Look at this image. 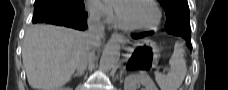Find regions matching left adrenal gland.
I'll return each mask as SVG.
<instances>
[{
    "label": "left adrenal gland",
    "mask_w": 228,
    "mask_h": 90,
    "mask_svg": "<svg viewBox=\"0 0 228 90\" xmlns=\"http://www.w3.org/2000/svg\"><path fill=\"white\" fill-rule=\"evenodd\" d=\"M125 69L123 68L120 72V77L122 76V74L124 73Z\"/></svg>",
    "instance_id": "obj_1"
}]
</instances>
